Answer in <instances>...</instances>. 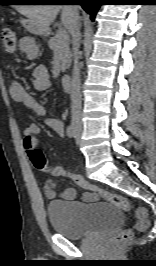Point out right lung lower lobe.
Returning a JSON list of instances; mask_svg holds the SVG:
<instances>
[{"instance_id": "98d812e1", "label": "right lung lower lobe", "mask_w": 156, "mask_h": 266, "mask_svg": "<svg viewBox=\"0 0 156 266\" xmlns=\"http://www.w3.org/2000/svg\"><path fill=\"white\" fill-rule=\"evenodd\" d=\"M61 2H51V3H65L66 1H71L77 3L83 7V9L90 14L91 20L94 21L95 15L102 4V0H58Z\"/></svg>"}]
</instances>
